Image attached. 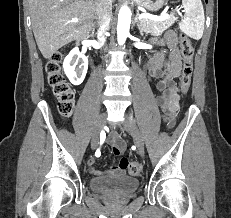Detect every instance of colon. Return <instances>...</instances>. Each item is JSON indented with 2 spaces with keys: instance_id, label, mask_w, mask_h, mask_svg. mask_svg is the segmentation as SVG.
Returning a JSON list of instances; mask_svg holds the SVG:
<instances>
[{
  "instance_id": "1",
  "label": "colon",
  "mask_w": 231,
  "mask_h": 218,
  "mask_svg": "<svg viewBox=\"0 0 231 218\" xmlns=\"http://www.w3.org/2000/svg\"><path fill=\"white\" fill-rule=\"evenodd\" d=\"M180 52L184 61L183 73L180 81L181 91L187 93L191 84L193 46L191 40L185 35L179 36ZM63 53L53 54L45 65L48 83L53 94L58 100L59 113L63 117H69L74 109V90L66 80L62 71ZM115 155L121 153V149L113 147ZM120 166L132 176H137L142 171V166L136 161H128L126 158L120 160Z\"/></svg>"
}]
</instances>
